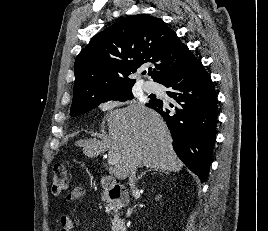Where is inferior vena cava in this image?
I'll return each mask as SVG.
<instances>
[{
	"label": "inferior vena cava",
	"mask_w": 268,
	"mask_h": 231,
	"mask_svg": "<svg viewBox=\"0 0 268 231\" xmlns=\"http://www.w3.org/2000/svg\"><path fill=\"white\" fill-rule=\"evenodd\" d=\"M136 171H137L136 167L132 168L129 175L130 187L133 190V192L135 190Z\"/></svg>",
	"instance_id": "602c4592"
}]
</instances>
